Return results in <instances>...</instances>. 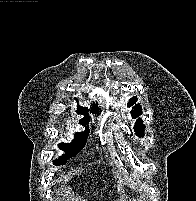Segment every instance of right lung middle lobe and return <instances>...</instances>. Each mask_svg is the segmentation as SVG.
<instances>
[{"mask_svg":"<svg viewBox=\"0 0 196 201\" xmlns=\"http://www.w3.org/2000/svg\"><path fill=\"white\" fill-rule=\"evenodd\" d=\"M89 118L85 117L80 120V124L87 125ZM89 134V128L87 127L84 132H78L74 135V140L70 144H59V148L66 152V154L60 157L58 160H54V165H63L66 161L74 157L86 144V139Z\"/></svg>","mask_w":196,"mask_h":201,"instance_id":"right-lung-middle-lobe-1","label":"right lung middle lobe"}]
</instances>
